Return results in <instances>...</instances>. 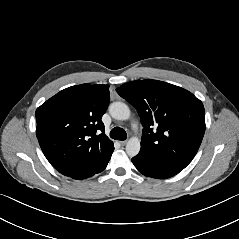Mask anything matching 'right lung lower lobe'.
<instances>
[{"label":"right lung lower lobe","mask_w":239,"mask_h":239,"mask_svg":"<svg viewBox=\"0 0 239 239\" xmlns=\"http://www.w3.org/2000/svg\"><path fill=\"white\" fill-rule=\"evenodd\" d=\"M111 155H112V154H111ZM110 158H111V156H110L99 168L94 169L93 171H90L89 173H87V174H85V175H82V176H79V177H76V178H74V179H80V180H81V179H85V178L91 177V176H93L95 173H100L101 171H103V170L106 168V166H107V164H108Z\"/></svg>","instance_id":"obj_1"}]
</instances>
